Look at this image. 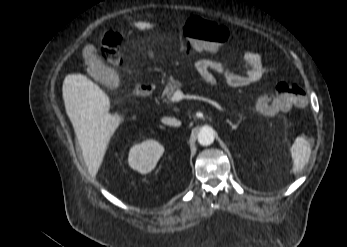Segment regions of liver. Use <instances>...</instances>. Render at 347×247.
Here are the masks:
<instances>
[{
  "mask_svg": "<svg viewBox=\"0 0 347 247\" xmlns=\"http://www.w3.org/2000/svg\"><path fill=\"white\" fill-rule=\"evenodd\" d=\"M62 93L66 113L73 124L88 170L96 176L110 139L124 117L109 113L107 94L82 74H68Z\"/></svg>",
  "mask_w": 347,
  "mask_h": 247,
  "instance_id": "liver-1",
  "label": "liver"
}]
</instances>
